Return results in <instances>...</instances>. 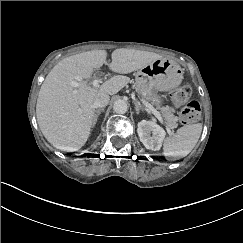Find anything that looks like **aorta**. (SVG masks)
Instances as JSON below:
<instances>
[{
  "label": "aorta",
  "mask_w": 243,
  "mask_h": 243,
  "mask_svg": "<svg viewBox=\"0 0 243 243\" xmlns=\"http://www.w3.org/2000/svg\"><path fill=\"white\" fill-rule=\"evenodd\" d=\"M113 109L118 114H124L128 110V105L124 100L119 99L114 102Z\"/></svg>",
  "instance_id": "aorta-1"
}]
</instances>
